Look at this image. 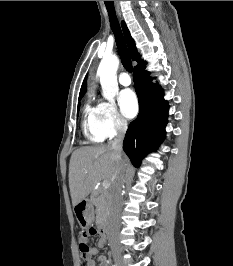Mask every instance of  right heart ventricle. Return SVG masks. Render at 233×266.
I'll use <instances>...</instances> for the list:
<instances>
[{
	"label": "right heart ventricle",
	"instance_id": "obj_1",
	"mask_svg": "<svg viewBox=\"0 0 233 266\" xmlns=\"http://www.w3.org/2000/svg\"><path fill=\"white\" fill-rule=\"evenodd\" d=\"M100 119V106L92 103L90 97L83 109V132L87 140L91 143H100L105 138L98 129Z\"/></svg>",
	"mask_w": 233,
	"mask_h": 266
}]
</instances>
